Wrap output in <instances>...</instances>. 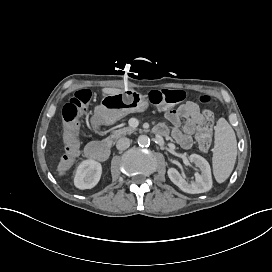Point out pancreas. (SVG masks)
<instances>
[{
	"label": "pancreas",
	"mask_w": 272,
	"mask_h": 272,
	"mask_svg": "<svg viewBox=\"0 0 272 272\" xmlns=\"http://www.w3.org/2000/svg\"><path fill=\"white\" fill-rule=\"evenodd\" d=\"M114 121L115 120H113L109 124L114 123ZM135 131H136V128H133V127H126V128L118 129V130L113 131L111 133V135L105 139V141H109V142L113 143V142L117 141L119 138H121L123 135L131 134V133H134Z\"/></svg>",
	"instance_id": "obj_1"
}]
</instances>
